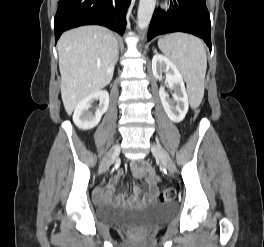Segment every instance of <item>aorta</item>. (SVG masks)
<instances>
[{
  "mask_svg": "<svg viewBox=\"0 0 264 247\" xmlns=\"http://www.w3.org/2000/svg\"><path fill=\"white\" fill-rule=\"evenodd\" d=\"M155 5L156 0H140L137 12V26L140 30H144L148 27Z\"/></svg>",
  "mask_w": 264,
  "mask_h": 247,
  "instance_id": "obj_1",
  "label": "aorta"
}]
</instances>
